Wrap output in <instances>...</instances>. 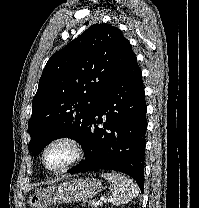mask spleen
<instances>
[{
	"instance_id": "1",
	"label": "spleen",
	"mask_w": 199,
	"mask_h": 208,
	"mask_svg": "<svg viewBox=\"0 0 199 208\" xmlns=\"http://www.w3.org/2000/svg\"><path fill=\"white\" fill-rule=\"evenodd\" d=\"M101 176L110 182L112 193L110 201L113 205L126 204L138 196L139 190L132 179L117 173H102Z\"/></svg>"
}]
</instances>
